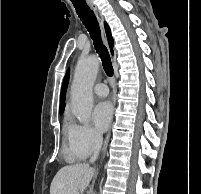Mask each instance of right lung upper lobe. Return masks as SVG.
I'll list each match as a JSON object with an SVG mask.
<instances>
[{"instance_id": "right-lung-upper-lobe-1", "label": "right lung upper lobe", "mask_w": 201, "mask_h": 194, "mask_svg": "<svg viewBox=\"0 0 201 194\" xmlns=\"http://www.w3.org/2000/svg\"><path fill=\"white\" fill-rule=\"evenodd\" d=\"M104 26H105L108 42H109V45H110V48H111V52L113 53V50H112L113 38L111 36L110 28L106 23H104ZM68 79H69V70L66 73V76H65L64 82H63V86H62L61 97H60V100H61V102H60V114L63 113L64 107H65V95H66V88H67V85H68Z\"/></svg>"}]
</instances>
